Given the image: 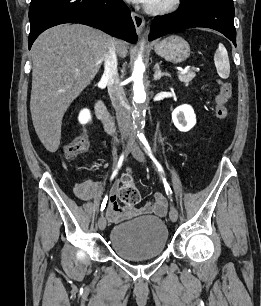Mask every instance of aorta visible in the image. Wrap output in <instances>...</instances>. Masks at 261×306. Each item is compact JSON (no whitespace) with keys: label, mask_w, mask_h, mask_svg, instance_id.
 Here are the masks:
<instances>
[{"label":"aorta","mask_w":261,"mask_h":306,"mask_svg":"<svg viewBox=\"0 0 261 306\" xmlns=\"http://www.w3.org/2000/svg\"><path fill=\"white\" fill-rule=\"evenodd\" d=\"M143 72H144V64L142 62V58L138 57V59L135 62L132 73V79L134 81L133 102L135 106L133 118L136 123L141 120L146 104V93L143 85Z\"/></svg>","instance_id":"aorta-1"}]
</instances>
